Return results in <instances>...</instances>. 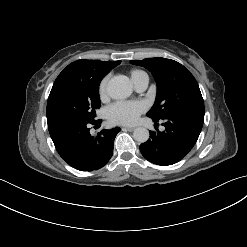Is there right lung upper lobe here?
<instances>
[{"instance_id":"right-lung-upper-lobe-1","label":"right lung upper lobe","mask_w":247,"mask_h":247,"mask_svg":"<svg viewBox=\"0 0 247 247\" xmlns=\"http://www.w3.org/2000/svg\"><path fill=\"white\" fill-rule=\"evenodd\" d=\"M120 64V61L77 60L69 64L57 79L70 78H97L104 77L111 69Z\"/></svg>"}]
</instances>
